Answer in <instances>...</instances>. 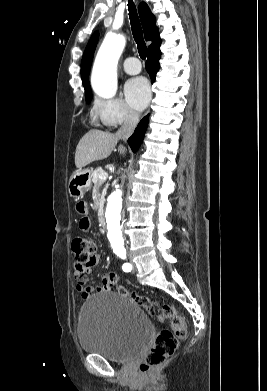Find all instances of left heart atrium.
<instances>
[{"instance_id": "obj_1", "label": "left heart atrium", "mask_w": 267, "mask_h": 391, "mask_svg": "<svg viewBox=\"0 0 267 391\" xmlns=\"http://www.w3.org/2000/svg\"><path fill=\"white\" fill-rule=\"evenodd\" d=\"M125 97L127 102L136 110L145 108L150 99V88L147 80L137 77L129 80L125 85Z\"/></svg>"}]
</instances>
